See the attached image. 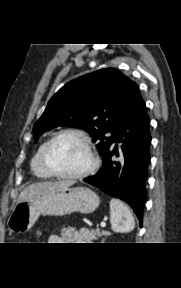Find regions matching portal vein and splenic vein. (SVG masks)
I'll use <instances>...</instances> for the list:
<instances>
[{"label": "portal vein and splenic vein", "instance_id": "obj_1", "mask_svg": "<svg viewBox=\"0 0 181 288\" xmlns=\"http://www.w3.org/2000/svg\"><path fill=\"white\" fill-rule=\"evenodd\" d=\"M106 226V223L102 222L101 227L104 228Z\"/></svg>", "mask_w": 181, "mask_h": 288}]
</instances>
